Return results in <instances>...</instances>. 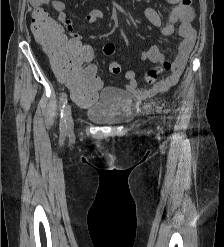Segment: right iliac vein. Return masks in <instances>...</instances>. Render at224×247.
I'll use <instances>...</instances> for the list:
<instances>
[{
	"label": "right iliac vein",
	"instance_id": "obj_1",
	"mask_svg": "<svg viewBox=\"0 0 224 247\" xmlns=\"http://www.w3.org/2000/svg\"><path fill=\"white\" fill-rule=\"evenodd\" d=\"M65 119H66V126H67V131L72 132L74 128V121L72 117V111L70 105H67L65 107Z\"/></svg>",
	"mask_w": 224,
	"mask_h": 247
}]
</instances>
